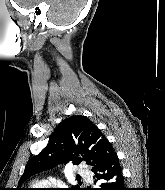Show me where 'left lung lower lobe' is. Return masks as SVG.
<instances>
[{
    "instance_id": "obj_1",
    "label": "left lung lower lobe",
    "mask_w": 165,
    "mask_h": 190,
    "mask_svg": "<svg viewBox=\"0 0 165 190\" xmlns=\"http://www.w3.org/2000/svg\"><path fill=\"white\" fill-rule=\"evenodd\" d=\"M92 171L95 173V182L100 183L101 188L98 190H125L122 170L115 152Z\"/></svg>"
}]
</instances>
